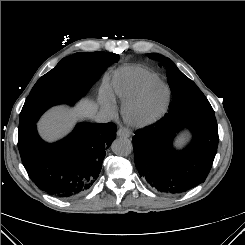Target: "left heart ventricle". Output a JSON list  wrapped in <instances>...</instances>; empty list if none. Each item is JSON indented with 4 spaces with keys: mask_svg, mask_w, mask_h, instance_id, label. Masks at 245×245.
I'll return each mask as SVG.
<instances>
[{
    "mask_svg": "<svg viewBox=\"0 0 245 245\" xmlns=\"http://www.w3.org/2000/svg\"><path fill=\"white\" fill-rule=\"evenodd\" d=\"M165 97V90L161 85L151 86L145 97L136 110L138 116H148L155 112L162 104Z\"/></svg>",
    "mask_w": 245,
    "mask_h": 245,
    "instance_id": "obj_1",
    "label": "left heart ventricle"
}]
</instances>
